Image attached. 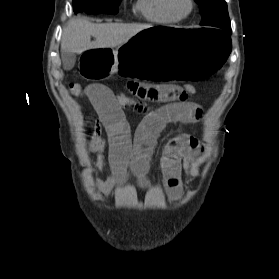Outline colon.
Segmentation results:
<instances>
[{"mask_svg": "<svg viewBox=\"0 0 279 279\" xmlns=\"http://www.w3.org/2000/svg\"><path fill=\"white\" fill-rule=\"evenodd\" d=\"M69 91L71 94L76 96H83L85 93L86 87L82 86L79 83H70L69 84ZM196 92V88L191 84H186L179 88L177 92L178 97L188 98L190 95ZM115 100L125 108L129 109H139L147 105L149 102L146 99L127 96L124 94H116L114 95Z\"/></svg>", "mask_w": 279, "mask_h": 279, "instance_id": "1", "label": "colon"}]
</instances>
